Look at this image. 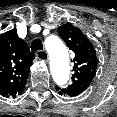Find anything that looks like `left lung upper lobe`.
<instances>
[{
  "label": "left lung upper lobe",
  "instance_id": "5c2ea615",
  "mask_svg": "<svg viewBox=\"0 0 117 117\" xmlns=\"http://www.w3.org/2000/svg\"><path fill=\"white\" fill-rule=\"evenodd\" d=\"M60 36L70 50L74 52V68L72 84L65 89L56 86L57 91L62 95L78 96L83 93L91 84L95 74L98 59L93 44L71 23L64 24L58 28Z\"/></svg>",
  "mask_w": 117,
  "mask_h": 117
}]
</instances>
